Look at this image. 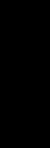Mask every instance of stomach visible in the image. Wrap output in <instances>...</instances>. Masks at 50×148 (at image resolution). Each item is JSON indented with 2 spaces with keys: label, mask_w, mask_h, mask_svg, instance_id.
<instances>
[{
  "label": "stomach",
  "mask_w": 50,
  "mask_h": 148,
  "mask_svg": "<svg viewBox=\"0 0 50 148\" xmlns=\"http://www.w3.org/2000/svg\"><path fill=\"white\" fill-rule=\"evenodd\" d=\"M25 39L20 45L10 44L4 57L29 62L38 58L50 38V7L37 9L25 24Z\"/></svg>",
  "instance_id": "obj_1"
}]
</instances>
